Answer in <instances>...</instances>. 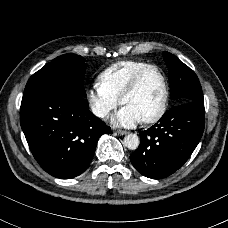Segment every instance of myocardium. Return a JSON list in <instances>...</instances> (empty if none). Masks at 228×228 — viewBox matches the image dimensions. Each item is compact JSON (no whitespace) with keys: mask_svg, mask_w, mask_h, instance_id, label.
Segmentation results:
<instances>
[{"mask_svg":"<svg viewBox=\"0 0 228 228\" xmlns=\"http://www.w3.org/2000/svg\"><path fill=\"white\" fill-rule=\"evenodd\" d=\"M152 69L156 70L162 78V81L164 84L165 96H164V102H163L161 108L159 109V111L156 114H154L153 116L142 119L141 121L143 123H155V122L161 120L168 110L169 103H170V87H169L168 78H167L165 72L163 71V69L156 64H148L147 66L138 70L135 73V75L133 76V78L131 79L130 83L128 84V86L126 87V89L124 90V92L120 98V103L122 105H124L126 98L137 90L143 76Z\"/></svg>","mask_w":228,"mask_h":228,"instance_id":"myocardium-1","label":"myocardium"}]
</instances>
